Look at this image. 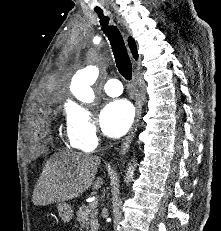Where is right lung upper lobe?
Masks as SVG:
<instances>
[{"label":"right lung upper lobe","mask_w":221,"mask_h":231,"mask_svg":"<svg viewBox=\"0 0 221 231\" xmlns=\"http://www.w3.org/2000/svg\"><path fill=\"white\" fill-rule=\"evenodd\" d=\"M129 45H130V48H131V51H132L134 58L137 59L138 54H137V50H136V45H135V42L132 38H129Z\"/></svg>","instance_id":"1"}]
</instances>
